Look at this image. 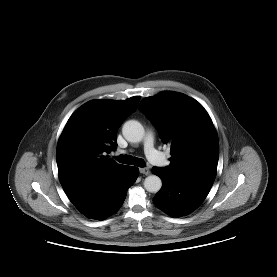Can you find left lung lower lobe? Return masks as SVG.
Masks as SVG:
<instances>
[{"label":"left lung lower lobe","instance_id":"obj_1","mask_svg":"<svg viewBox=\"0 0 277 277\" xmlns=\"http://www.w3.org/2000/svg\"><path fill=\"white\" fill-rule=\"evenodd\" d=\"M152 172L163 182L153 198L155 206L176 217L187 215L200 206L214 182L205 177L178 175L166 168L153 167Z\"/></svg>","mask_w":277,"mask_h":277}]
</instances>
